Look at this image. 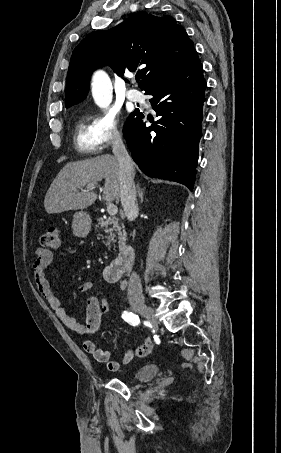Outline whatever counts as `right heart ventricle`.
Segmentation results:
<instances>
[{
	"mask_svg": "<svg viewBox=\"0 0 281 453\" xmlns=\"http://www.w3.org/2000/svg\"><path fill=\"white\" fill-rule=\"evenodd\" d=\"M74 144L83 156H94L101 150L102 144L87 113H82L76 122Z\"/></svg>",
	"mask_w": 281,
	"mask_h": 453,
	"instance_id": "obj_1",
	"label": "right heart ventricle"
}]
</instances>
